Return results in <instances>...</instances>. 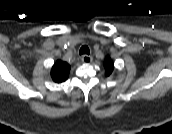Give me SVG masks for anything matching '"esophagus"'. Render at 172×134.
<instances>
[{"instance_id":"obj_1","label":"esophagus","mask_w":172,"mask_h":134,"mask_svg":"<svg viewBox=\"0 0 172 134\" xmlns=\"http://www.w3.org/2000/svg\"><path fill=\"white\" fill-rule=\"evenodd\" d=\"M81 60H82L83 63L89 64V63H91L93 61V58H92V56H89V55H83L81 57Z\"/></svg>"}]
</instances>
